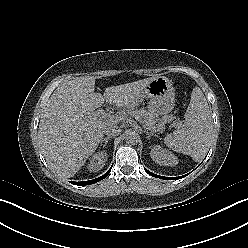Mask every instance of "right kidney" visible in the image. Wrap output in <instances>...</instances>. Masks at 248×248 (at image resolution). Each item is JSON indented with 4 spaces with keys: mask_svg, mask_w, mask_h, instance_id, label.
I'll list each match as a JSON object with an SVG mask.
<instances>
[{
    "mask_svg": "<svg viewBox=\"0 0 248 248\" xmlns=\"http://www.w3.org/2000/svg\"><path fill=\"white\" fill-rule=\"evenodd\" d=\"M108 154L106 151H100L95 153L89 161L87 166L90 172H96L102 169L107 161Z\"/></svg>",
    "mask_w": 248,
    "mask_h": 248,
    "instance_id": "ca27d5eb",
    "label": "right kidney"
}]
</instances>
